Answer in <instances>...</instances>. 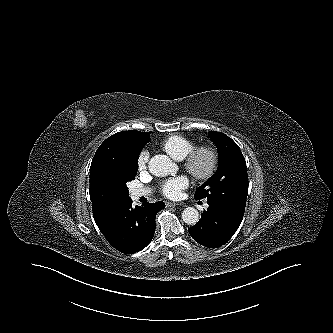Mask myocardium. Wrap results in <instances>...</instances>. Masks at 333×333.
I'll use <instances>...</instances> for the list:
<instances>
[{
  "mask_svg": "<svg viewBox=\"0 0 333 333\" xmlns=\"http://www.w3.org/2000/svg\"><path fill=\"white\" fill-rule=\"evenodd\" d=\"M201 157L206 158L204 167L199 168L198 161ZM218 164V154L210 145L194 147L182 160L183 168L195 179L200 181L208 180L213 176Z\"/></svg>",
  "mask_w": 333,
  "mask_h": 333,
  "instance_id": "obj_1",
  "label": "myocardium"
}]
</instances>
